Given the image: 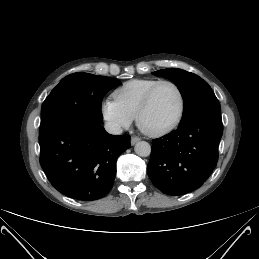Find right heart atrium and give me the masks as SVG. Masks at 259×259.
I'll list each match as a JSON object with an SVG mask.
<instances>
[{
	"label": "right heart atrium",
	"mask_w": 259,
	"mask_h": 259,
	"mask_svg": "<svg viewBox=\"0 0 259 259\" xmlns=\"http://www.w3.org/2000/svg\"><path fill=\"white\" fill-rule=\"evenodd\" d=\"M101 114L107 124L114 130L129 127L133 120V118L119 106L115 99L111 98H106L102 102Z\"/></svg>",
	"instance_id": "1"
}]
</instances>
